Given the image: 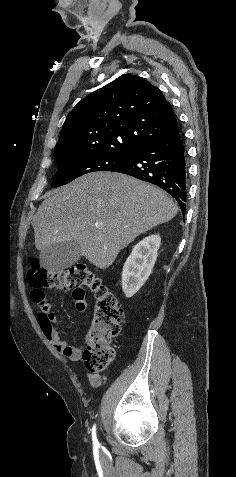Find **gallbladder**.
Masks as SVG:
<instances>
[{"mask_svg":"<svg viewBox=\"0 0 236 477\" xmlns=\"http://www.w3.org/2000/svg\"><path fill=\"white\" fill-rule=\"evenodd\" d=\"M81 257V248L75 241L53 244L41 251V264L50 271H62Z\"/></svg>","mask_w":236,"mask_h":477,"instance_id":"obj_1","label":"gallbladder"}]
</instances>
